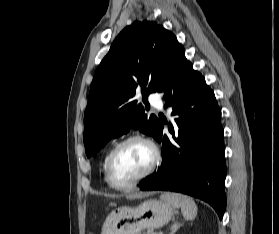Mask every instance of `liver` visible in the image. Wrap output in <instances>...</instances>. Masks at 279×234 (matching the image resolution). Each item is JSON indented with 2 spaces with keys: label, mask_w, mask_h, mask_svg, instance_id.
Wrapping results in <instances>:
<instances>
[{
  "label": "liver",
  "mask_w": 279,
  "mask_h": 234,
  "mask_svg": "<svg viewBox=\"0 0 279 234\" xmlns=\"http://www.w3.org/2000/svg\"><path fill=\"white\" fill-rule=\"evenodd\" d=\"M145 196H146V194H144V193H133V194L128 195L127 198L136 199V198H142Z\"/></svg>",
  "instance_id": "1"
}]
</instances>
